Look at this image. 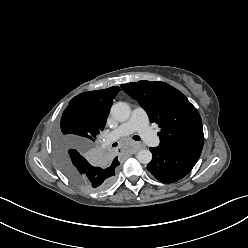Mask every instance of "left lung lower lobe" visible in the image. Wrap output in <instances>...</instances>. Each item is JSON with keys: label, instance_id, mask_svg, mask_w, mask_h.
<instances>
[{"label": "left lung lower lobe", "instance_id": "left-lung-lower-lobe-1", "mask_svg": "<svg viewBox=\"0 0 248 248\" xmlns=\"http://www.w3.org/2000/svg\"><path fill=\"white\" fill-rule=\"evenodd\" d=\"M203 142L150 148L153 158L147 170L159 181L173 183L186 176L198 161Z\"/></svg>", "mask_w": 248, "mask_h": 248}]
</instances>
